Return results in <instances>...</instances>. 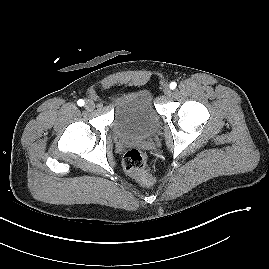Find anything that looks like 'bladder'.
<instances>
[{"label": "bladder", "instance_id": "1", "mask_svg": "<svg viewBox=\"0 0 269 269\" xmlns=\"http://www.w3.org/2000/svg\"><path fill=\"white\" fill-rule=\"evenodd\" d=\"M113 104V129L117 137L144 139L157 131L160 119L147 88L120 92L114 96Z\"/></svg>", "mask_w": 269, "mask_h": 269}]
</instances>
